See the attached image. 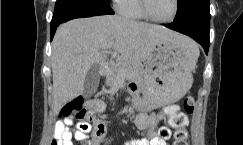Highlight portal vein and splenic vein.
<instances>
[{
    "label": "portal vein and splenic vein",
    "instance_id": "18ae733b",
    "mask_svg": "<svg viewBox=\"0 0 243 145\" xmlns=\"http://www.w3.org/2000/svg\"><path fill=\"white\" fill-rule=\"evenodd\" d=\"M114 46V42L113 41H111V42H109V43H107L106 45H104V49H110V48H112Z\"/></svg>",
    "mask_w": 243,
    "mask_h": 145
}]
</instances>
